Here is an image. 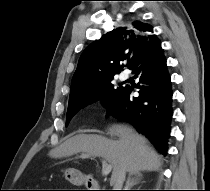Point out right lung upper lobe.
Segmentation results:
<instances>
[{"label":"right lung upper lobe","mask_w":210,"mask_h":191,"mask_svg":"<svg viewBox=\"0 0 210 191\" xmlns=\"http://www.w3.org/2000/svg\"><path fill=\"white\" fill-rule=\"evenodd\" d=\"M150 25L134 22L91 43L82 53L71 82L69 100L84 95L108 77L120 73V62L130 69L139 54L156 38Z\"/></svg>","instance_id":"right-lung-upper-lobe-1"}]
</instances>
